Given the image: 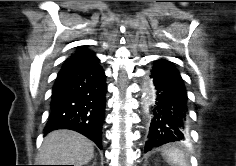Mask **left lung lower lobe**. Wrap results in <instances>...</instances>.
Returning a JSON list of instances; mask_svg holds the SVG:
<instances>
[{
    "label": "left lung lower lobe",
    "instance_id": "obj_1",
    "mask_svg": "<svg viewBox=\"0 0 236 166\" xmlns=\"http://www.w3.org/2000/svg\"><path fill=\"white\" fill-rule=\"evenodd\" d=\"M154 104L145 152L166 143L185 140L188 135V104L184 81L175 66L158 60L151 70Z\"/></svg>",
    "mask_w": 236,
    "mask_h": 166
}]
</instances>
